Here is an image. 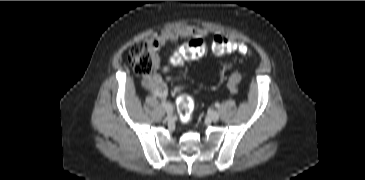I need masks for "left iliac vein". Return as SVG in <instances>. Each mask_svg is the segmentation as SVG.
<instances>
[{
	"mask_svg": "<svg viewBox=\"0 0 365 180\" xmlns=\"http://www.w3.org/2000/svg\"><path fill=\"white\" fill-rule=\"evenodd\" d=\"M208 116L211 121L215 122L219 120V113L217 111H211Z\"/></svg>",
	"mask_w": 365,
	"mask_h": 180,
	"instance_id": "left-iliac-vein-1",
	"label": "left iliac vein"
}]
</instances>
